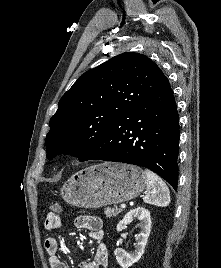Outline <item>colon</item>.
<instances>
[{"mask_svg": "<svg viewBox=\"0 0 221 268\" xmlns=\"http://www.w3.org/2000/svg\"><path fill=\"white\" fill-rule=\"evenodd\" d=\"M61 211V206L58 202L53 201L50 205V214L58 215Z\"/></svg>", "mask_w": 221, "mask_h": 268, "instance_id": "colon-1", "label": "colon"}]
</instances>
